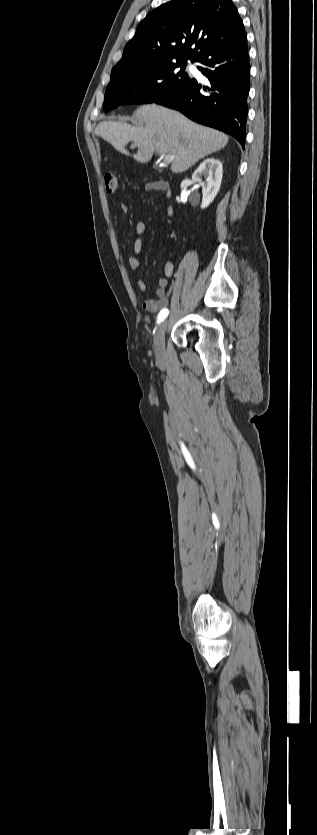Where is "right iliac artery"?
I'll return each mask as SVG.
<instances>
[{
    "instance_id": "1",
    "label": "right iliac artery",
    "mask_w": 317,
    "mask_h": 835,
    "mask_svg": "<svg viewBox=\"0 0 317 835\" xmlns=\"http://www.w3.org/2000/svg\"><path fill=\"white\" fill-rule=\"evenodd\" d=\"M168 314L169 310L166 307L163 308L158 314L157 322L160 323L161 321H163L168 316Z\"/></svg>"
}]
</instances>
